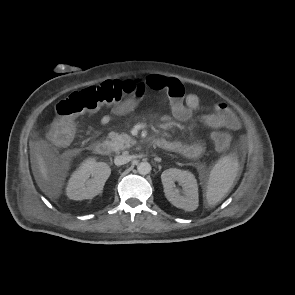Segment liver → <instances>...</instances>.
<instances>
[{"instance_id":"6515ba94","label":"liver","mask_w":295,"mask_h":295,"mask_svg":"<svg viewBox=\"0 0 295 295\" xmlns=\"http://www.w3.org/2000/svg\"><path fill=\"white\" fill-rule=\"evenodd\" d=\"M38 165H39V170H40L42 178L45 181H49L50 177H49L48 169H47V167L45 165V161L41 155H39V157H38Z\"/></svg>"}]
</instances>
